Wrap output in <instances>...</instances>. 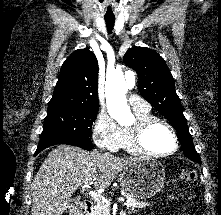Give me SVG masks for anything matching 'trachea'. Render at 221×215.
I'll return each instance as SVG.
<instances>
[{"mask_svg":"<svg viewBox=\"0 0 221 215\" xmlns=\"http://www.w3.org/2000/svg\"><path fill=\"white\" fill-rule=\"evenodd\" d=\"M105 22H106L108 33H112V30L115 24V19H105Z\"/></svg>","mask_w":221,"mask_h":215,"instance_id":"3493384b","label":"trachea"}]
</instances>
